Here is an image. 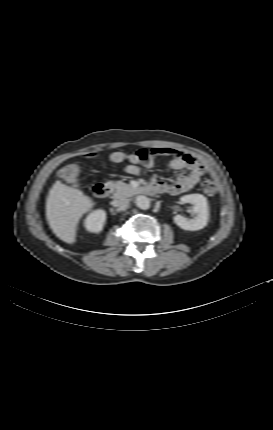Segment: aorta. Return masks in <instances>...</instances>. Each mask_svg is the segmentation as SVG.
<instances>
[{"label":"aorta","instance_id":"aorta-1","mask_svg":"<svg viewBox=\"0 0 273 430\" xmlns=\"http://www.w3.org/2000/svg\"><path fill=\"white\" fill-rule=\"evenodd\" d=\"M135 204L140 209L147 210L151 206V201L148 197H146L144 195H138L135 198Z\"/></svg>","mask_w":273,"mask_h":430}]
</instances>
